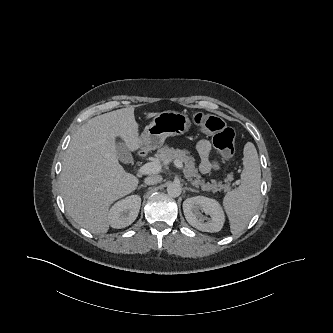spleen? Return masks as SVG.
Returning a JSON list of instances; mask_svg holds the SVG:
<instances>
[{"instance_id":"spleen-1","label":"spleen","mask_w":333,"mask_h":333,"mask_svg":"<svg viewBox=\"0 0 333 333\" xmlns=\"http://www.w3.org/2000/svg\"><path fill=\"white\" fill-rule=\"evenodd\" d=\"M243 155L241 184L237 189L228 192L223 199L232 234H237L247 227L260 203L261 170L253 143L245 144Z\"/></svg>"}]
</instances>
